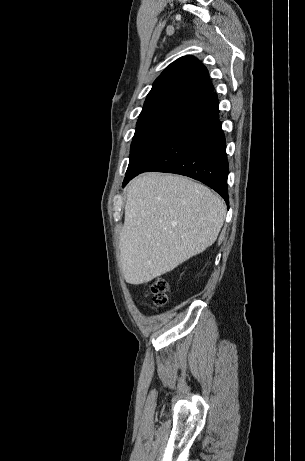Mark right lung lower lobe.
<instances>
[{
    "mask_svg": "<svg viewBox=\"0 0 305 461\" xmlns=\"http://www.w3.org/2000/svg\"><path fill=\"white\" fill-rule=\"evenodd\" d=\"M218 106L217 95L213 93L188 108L167 135L127 169L123 186L146 171L176 173L203 182L228 204V161Z\"/></svg>",
    "mask_w": 305,
    "mask_h": 461,
    "instance_id": "1",
    "label": "right lung lower lobe"
}]
</instances>
